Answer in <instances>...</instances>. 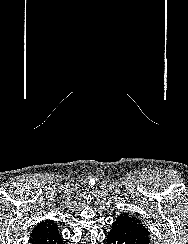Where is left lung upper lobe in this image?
I'll return each instance as SVG.
<instances>
[{"label": "left lung upper lobe", "instance_id": "1", "mask_svg": "<svg viewBox=\"0 0 188 244\" xmlns=\"http://www.w3.org/2000/svg\"><path fill=\"white\" fill-rule=\"evenodd\" d=\"M128 215V214H127ZM131 219H133L138 225L139 227L147 234L149 235L148 229L146 228V226L136 217L132 216V215H128Z\"/></svg>", "mask_w": 188, "mask_h": 244}]
</instances>
